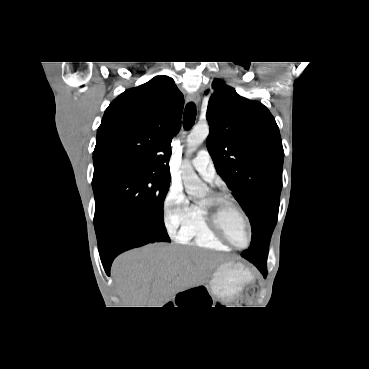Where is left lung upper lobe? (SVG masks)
Masks as SVG:
<instances>
[{"instance_id":"5c2ea615","label":"left lung upper lobe","mask_w":369,"mask_h":369,"mask_svg":"<svg viewBox=\"0 0 369 369\" xmlns=\"http://www.w3.org/2000/svg\"><path fill=\"white\" fill-rule=\"evenodd\" d=\"M213 86L206 114L207 148L251 223V244L241 256L266 262L282 189L284 151L279 128L262 103L241 97L220 79Z\"/></svg>"}]
</instances>
